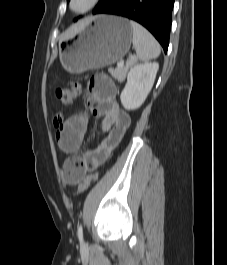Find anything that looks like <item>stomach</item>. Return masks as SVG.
<instances>
[{"instance_id": "0dacf381", "label": "stomach", "mask_w": 227, "mask_h": 265, "mask_svg": "<svg viewBox=\"0 0 227 265\" xmlns=\"http://www.w3.org/2000/svg\"><path fill=\"white\" fill-rule=\"evenodd\" d=\"M132 37L133 31L127 19L99 15L76 39L60 42V62L72 74L111 65L129 51Z\"/></svg>"}]
</instances>
